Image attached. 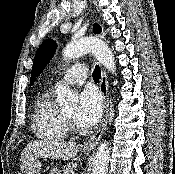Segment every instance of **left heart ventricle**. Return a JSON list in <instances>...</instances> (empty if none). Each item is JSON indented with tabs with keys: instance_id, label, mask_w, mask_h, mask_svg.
<instances>
[{
	"instance_id": "left-heart-ventricle-1",
	"label": "left heart ventricle",
	"mask_w": 175,
	"mask_h": 174,
	"mask_svg": "<svg viewBox=\"0 0 175 174\" xmlns=\"http://www.w3.org/2000/svg\"><path fill=\"white\" fill-rule=\"evenodd\" d=\"M74 113H75V108H70L64 111V114L70 117L71 119L74 117Z\"/></svg>"
}]
</instances>
